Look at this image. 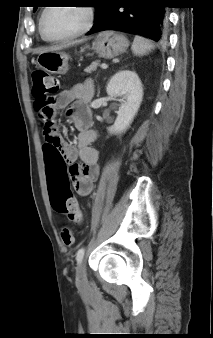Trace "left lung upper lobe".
I'll return each mask as SVG.
<instances>
[{
	"label": "left lung upper lobe",
	"instance_id": "obj_1",
	"mask_svg": "<svg viewBox=\"0 0 213 338\" xmlns=\"http://www.w3.org/2000/svg\"><path fill=\"white\" fill-rule=\"evenodd\" d=\"M102 0H95V4H96V6H95V8H96V13H98V11H99V9H100V2H101ZM36 8L37 7H34V11L36 10Z\"/></svg>",
	"mask_w": 213,
	"mask_h": 338
}]
</instances>
